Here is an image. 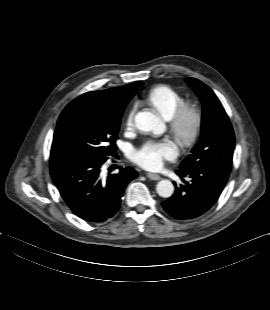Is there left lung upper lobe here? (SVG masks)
<instances>
[{
	"instance_id": "5c2ea615",
	"label": "left lung upper lobe",
	"mask_w": 270,
	"mask_h": 310,
	"mask_svg": "<svg viewBox=\"0 0 270 310\" xmlns=\"http://www.w3.org/2000/svg\"><path fill=\"white\" fill-rule=\"evenodd\" d=\"M203 102L202 135L181 169L204 167L230 173L235 138L229 118L214 92L201 81L188 78Z\"/></svg>"
}]
</instances>
